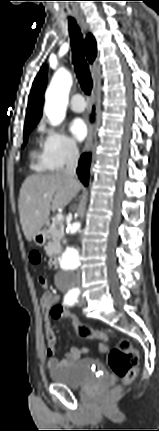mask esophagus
I'll return each instance as SVG.
<instances>
[{
    "instance_id": "esophagus-1",
    "label": "esophagus",
    "mask_w": 159,
    "mask_h": 431,
    "mask_svg": "<svg viewBox=\"0 0 159 431\" xmlns=\"http://www.w3.org/2000/svg\"><path fill=\"white\" fill-rule=\"evenodd\" d=\"M83 28L86 29L85 24L82 22ZM94 80V88L91 96V103L94 102L95 99V88H96V79L93 77ZM93 141V125L91 123L88 124V135L85 142V151L88 152L90 150L91 144Z\"/></svg>"
}]
</instances>
